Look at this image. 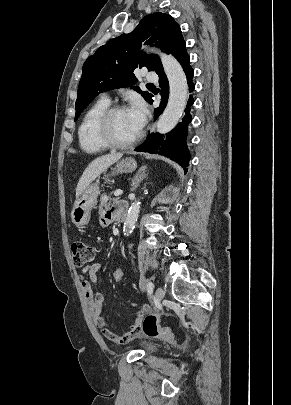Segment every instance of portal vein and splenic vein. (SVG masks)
<instances>
[{
	"label": "portal vein and splenic vein",
	"mask_w": 291,
	"mask_h": 405,
	"mask_svg": "<svg viewBox=\"0 0 291 405\" xmlns=\"http://www.w3.org/2000/svg\"><path fill=\"white\" fill-rule=\"evenodd\" d=\"M122 194H123V191L120 190V189H117V190L114 191V195H115V196H120V195H122Z\"/></svg>",
	"instance_id": "1"
}]
</instances>
